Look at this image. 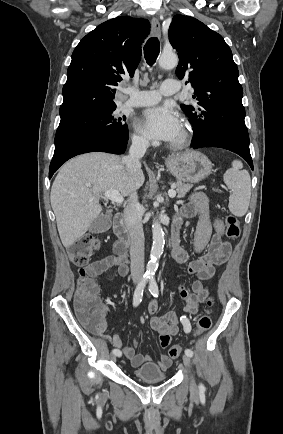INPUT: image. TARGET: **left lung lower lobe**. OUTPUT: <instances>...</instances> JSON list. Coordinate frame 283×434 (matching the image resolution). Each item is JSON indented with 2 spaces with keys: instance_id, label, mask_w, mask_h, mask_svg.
<instances>
[{
  "instance_id": "left-lung-lower-lobe-1",
  "label": "left lung lower lobe",
  "mask_w": 283,
  "mask_h": 434,
  "mask_svg": "<svg viewBox=\"0 0 283 434\" xmlns=\"http://www.w3.org/2000/svg\"><path fill=\"white\" fill-rule=\"evenodd\" d=\"M203 147H217L232 151L241 156L250 165L251 169H253V162L250 155L249 145L225 139L214 140L204 144H193L194 149Z\"/></svg>"
}]
</instances>
